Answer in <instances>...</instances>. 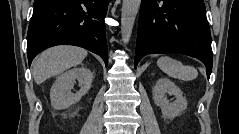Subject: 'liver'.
I'll use <instances>...</instances> for the list:
<instances>
[{
    "instance_id": "liver-1",
    "label": "liver",
    "mask_w": 239,
    "mask_h": 134,
    "mask_svg": "<svg viewBox=\"0 0 239 134\" xmlns=\"http://www.w3.org/2000/svg\"><path fill=\"white\" fill-rule=\"evenodd\" d=\"M87 50L76 46H56L43 51L33 63V77L37 84L79 65Z\"/></svg>"
}]
</instances>
